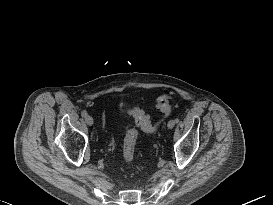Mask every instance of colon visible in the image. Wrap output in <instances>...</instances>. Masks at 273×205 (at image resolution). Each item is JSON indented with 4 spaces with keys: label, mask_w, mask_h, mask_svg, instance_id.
Returning <instances> with one entry per match:
<instances>
[{
    "label": "colon",
    "mask_w": 273,
    "mask_h": 205,
    "mask_svg": "<svg viewBox=\"0 0 273 205\" xmlns=\"http://www.w3.org/2000/svg\"><path fill=\"white\" fill-rule=\"evenodd\" d=\"M157 109L164 115H169L171 112L170 97L168 95L160 96L156 101ZM135 123L145 132H153L155 127L152 124L149 116L141 109L132 111ZM137 131L129 129L125 133L123 144V158L127 162H131L135 156V148L137 142Z\"/></svg>",
    "instance_id": "1"
}]
</instances>
